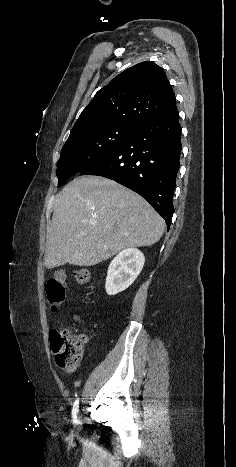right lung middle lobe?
<instances>
[{
  "mask_svg": "<svg viewBox=\"0 0 236 467\" xmlns=\"http://www.w3.org/2000/svg\"><path fill=\"white\" fill-rule=\"evenodd\" d=\"M136 130L111 125L70 134L57 162L58 187L71 175L81 172L114 151Z\"/></svg>",
  "mask_w": 236,
  "mask_h": 467,
  "instance_id": "obj_1",
  "label": "right lung middle lobe"
}]
</instances>
